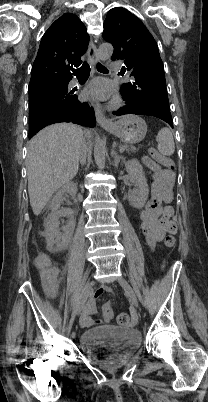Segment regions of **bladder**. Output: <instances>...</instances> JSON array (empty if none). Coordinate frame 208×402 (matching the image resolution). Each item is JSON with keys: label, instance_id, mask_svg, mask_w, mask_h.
Wrapping results in <instances>:
<instances>
[{"label": "bladder", "instance_id": "obj_1", "mask_svg": "<svg viewBox=\"0 0 208 402\" xmlns=\"http://www.w3.org/2000/svg\"><path fill=\"white\" fill-rule=\"evenodd\" d=\"M81 346L90 352L93 363L118 364L141 344L139 332L113 325H97L83 332Z\"/></svg>", "mask_w": 208, "mask_h": 402}]
</instances>
